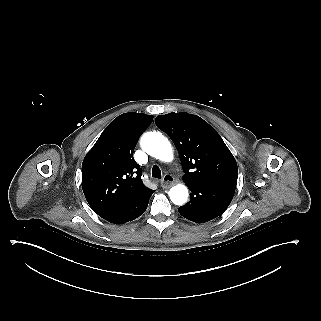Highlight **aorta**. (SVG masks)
Returning a JSON list of instances; mask_svg holds the SVG:
<instances>
[{"label":"aorta","instance_id":"obj_1","mask_svg":"<svg viewBox=\"0 0 321 321\" xmlns=\"http://www.w3.org/2000/svg\"><path fill=\"white\" fill-rule=\"evenodd\" d=\"M142 149L152 157L163 162L173 160V149L169 140L160 132L145 133L140 141ZM169 197L175 205H183L188 198V189L184 184L173 186Z\"/></svg>","mask_w":321,"mask_h":321}]
</instances>
